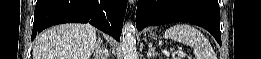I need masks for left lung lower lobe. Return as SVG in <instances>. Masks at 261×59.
Listing matches in <instances>:
<instances>
[{"mask_svg":"<svg viewBox=\"0 0 261 59\" xmlns=\"http://www.w3.org/2000/svg\"><path fill=\"white\" fill-rule=\"evenodd\" d=\"M173 22L201 26L221 45L218 0H138L136 15L138 30Z\"/></svg>","mask_w":261,"mask_h":59,"instance_id":"left-lung-lower-lobe-1","label":"left lung lower lobe"}]
</instances>
